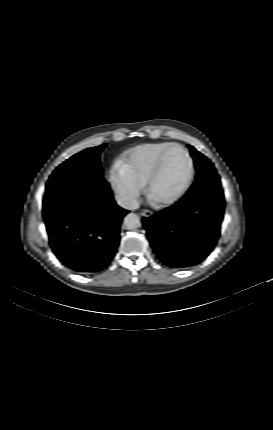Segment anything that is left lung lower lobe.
<instances>
[{
  "label": "left lung lower lobe",
  "instance_id": "obj_1",
  "mask_svg": "<svg viewBox=\"0 0 273 430\" xmlns=\"http://www.w3.org/2000/svg\"><path fill=\"white\" fill-rule=\"evenodd\" d=\"M224 205L219 175L203 173L179 202L143 218L159 259L178 269L202 262L217 243Z\"/></svg>",
  "mask_w": 273,
  "mask_h": 430
}]
</instances>
